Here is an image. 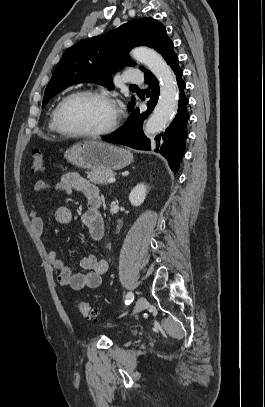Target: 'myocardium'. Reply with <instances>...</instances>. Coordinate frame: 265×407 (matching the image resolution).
<instances>
[{
	"instance_id": "f54148a6",
	"label": "myocardium",
	"mask_w": 265,
	"mask_h": 407,
	"mask_svg": "<svg viewBox=\"0 0 265 407\" xmlns=\"http://www.w3.org/2000/svg\"><path fill=\"white\" fill-rule=\"evenodd\" d=\"M76 97H92L109 103L114 109V117L111 123L106 128L95 132H80L67 128L63 121V110L67 102ZM119 120L120 113L115 101L109 95L96 90H79L68 94L59 102L55 111V121L59 132L65 136L74 138H99L109 135L116 130Z\"/></svg>"
}]
</instances>
